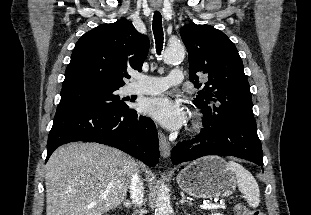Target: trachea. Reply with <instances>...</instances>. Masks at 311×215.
<instances>
[{"label": "trachea", "mask_w": 311, "mask_h": 215, "mask_svg": "<svg viewBox=\"0 0 311 215\" xmlns=\"http://www.w3.org/2000/svg\"><path fill=\"white\" fill-rule=\"evenodd\" d=\"M153 33L156 43L157 54L160 55L163 48V28H162V16L159 11H155L153 15Z\"/></svg>", "instance_id": "trachea-1"}]
</instances>
